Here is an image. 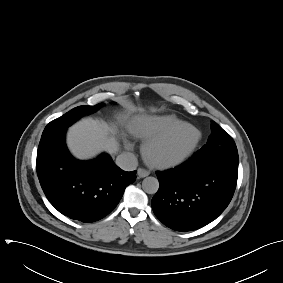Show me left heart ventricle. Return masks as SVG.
Returning a JSON list of instances; mask_svg holds the SVG:
<instances>
[{
  "label": "left heart ventricle",
  "instance_id": "1",
  "mask_svg": "<svg viewBox=\"0 0 283 283\" xmlns=\"http://www.w3.org/2000/svg\"><path fill=\"white\" fill-rule=\"evenodd\" d=\"M195 133L190 128H183L170 141L157 150L162 157H175L183 152L193 142Z\"/></svg>",
  "mask_w": 283,
  "mask_h": 283
}]
</instances>
